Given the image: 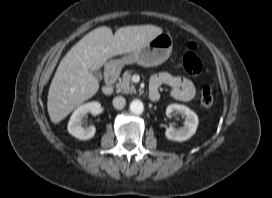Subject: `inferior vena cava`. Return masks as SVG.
<instances>
[{
	"label": "inferior vena cava",
	"mask_w": 272,
	"mask_h": 198,
	"mask_svg": "<svg viewBox=\"0 0 272 198\" xmlns=\"http://www.w3.org/2000/svg\"><path fill=\"white\" fill-rule=\"evenodd\" d=\"M126 105V100L122 96H117L113 99V106L116 109H122Z\"/></svg>",
	"instance_id": "1"
}]
</instances>
